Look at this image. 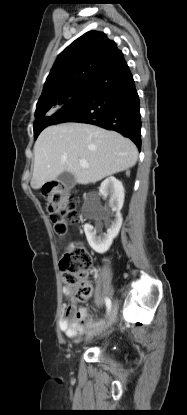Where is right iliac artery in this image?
Masks as SVG:
<instances>
[{
    "instance_id": "1",
    "label": "right iliac artery",
    "mask_w": 187,
    "mask_h": 415,
    "mask_svg": "<svg viewBox=\"0 0 187 415\" xmlns=\"http://www.w3.org/2000/svg\"><path fill=\"white\" fill-rule=\"evenodd\" d=\"M105 304H106V307H107V314H108L111 310V300L109 298H106L105 299Z\"/></svg>"
}]
</instances>
